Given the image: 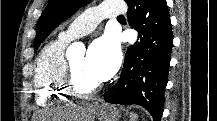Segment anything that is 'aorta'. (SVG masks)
Here are the masks:
<instances>
[{
  "instance_id": "1",
  "label": "aorta",
  "mask_w": 217,
  "mask_h": 121,
  "mask_svg": "<svg viewBox=\"0 0 217 121\" xmlns=\"http://www.w3.org/2000/svg\"><path fill=\"white\" fill-rule=\"evenodd\" d=\"M80 48V45L75 43L72 44L69 48H68V53L71 54L73 51L78 50Z\"/></svg>"
}]
</instances>
